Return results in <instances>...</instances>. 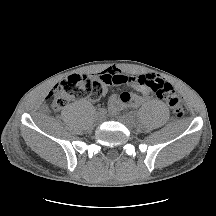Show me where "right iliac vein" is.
Masks as SVG:
<instances>
[{
    "mask_svg": "<svg viewBox=\"0 0 216 216\" xmlns=\"http://www.w3.org/2000/svg\"><path fill=\"white\" fill-rule=\"evenodd\" d=\"M95 121H96V123H98V124L101 123V122L103 121V116L100 115V114H97V115H96Z\"/></svg>",
    "mask_w": 216,
    "mask_h": 216,
    "instance_id": "1",
    "label": "right iliac vein"
}]
</instances>
